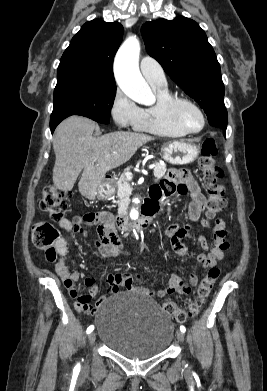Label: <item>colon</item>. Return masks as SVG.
Here are the masks:
<instances>
[{
    "instance_id": "obj_1",
    "label": "colon",
    "mask_w": 267,
    "mask_h": 391,
    "mask_svg": "<svg viewBox=\"0 0 267 391\" xmlns=\"http://www.w3.org/2000/svg\"><path fill=\"white\" fill-rule=\"evenodd\" d=\"M218 152V147L212 138H206L202 142L198 165L202 171L203 182L208 193L204 223L217 216L226 207L224 187L220 184L223 171L215 163ZM40 208L51 218L59 220L69 208L68 195L59 191L55 186H47L41 194ZM58 237L59 233L57 229L49 222H39L33 227V243L36 247L45 250L46 257L49 261L56 259L54 244L57 242ZM219 275L220 269L218 267H213L209 270L208 274L198 286L194 301L185 310L181 309L173 301H165L162 305L164 311L178 322H184L189 318L197 316Z\"/></svg>"
}]
</instances>
